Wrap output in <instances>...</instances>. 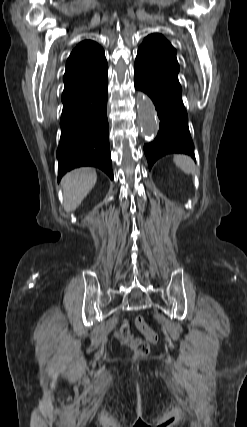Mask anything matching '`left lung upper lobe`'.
Segmentation results:
<instances>
[{"label":"left lung upper lobe","instance_id":"1","mask_svg":"<svg viewBox=\"0 0 247 427\" xmlns=\"http://www.w3.org/2000/svg\"><path fill=\"white\" fill-rule=\"evenodd\" d=\"M136 59L144 62L166 81L181 88L176 50L161 34L148 35L140 45Z\"/></svg>","mask_w":247,"mask_h":427}]
</instances>
